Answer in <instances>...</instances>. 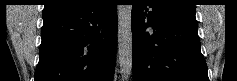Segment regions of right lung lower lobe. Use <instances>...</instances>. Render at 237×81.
Here are the masks:
<instances>
[{
    "instance_id": "1",
    "label": "right lung lower lobe",
    "mask_w": 237,
    "mask_h": 81,
    "mask_svg": "<svg viewBox=\"0 0 237 81\" xmlns=\"http://www.w3.org/2000/svg\"><path fill=\"white\" fill-rule=\"evenodd\" d=\"M35 81H112L117 48L113 0H83L43 15Z\"/></svg>"
}]
</instances>
